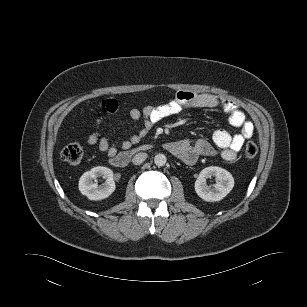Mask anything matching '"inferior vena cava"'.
Listing matches in <instances>:
<instances>
[{"label": "inferior vena cava", "mask_w": 307, "mask_h": 307, "mask_svg": "<svg viewBox=\"0 0 307 307\" xmlns=\"http://www.w3.org/2000/svg\"><path fill=\"white\" fill-rule=\"evenodd\" d=\"M146 158H147V154L141 152V153L136 154V155L133 157L132 162H133V164H135V165H139V164L143 163V162L146 160Z\"/></svg>", "instance_id": "obj_1"}]
</instances>
